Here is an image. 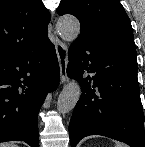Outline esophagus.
<instances>
[{
  "label": "esophagus",
  "instance_id": "34e87169",
  "mask_svg": "<svg viewBox=\"0 0 145 147\" xmlns=\"http://www.w3.org/2000/svg\"><path fill=\"white\" fill-rule=\"evenodd\" d=\"M55 49L60 67L61 83L67 80L68 48L58 37L55 38Z\"/></svg>",
  "mask_w": 145,
  "mask_h": 147
}]
</instances>
